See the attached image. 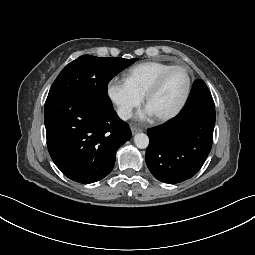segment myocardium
<instances>
[{
  "label": "myocardium",
  "mask_w": 255,
  "mask_h": 255,
  "mask_svg": "<svg viewBox=\"0 0 255 255\" xmlns=\"http://www.w3.org/2000/svg\"><path fill=\"white\" fill-rule=\"evenodd\" d=\"M177 69H182L187 74V86H186L185 92H184L181 100L179 101V103L176 105V107L172 111H170L169 113L164 114V115L156 116V119L159 121H168V120L174 118L186 104V102L189 98L190 92H191V88H192V75H191L190 70L183 65H173L172 67H170L169 69L164 71L156 79V81L152 84V86L148 89V91L144 95L145 103H146V105H148L149 100L161 89V87L163 86V84H164L166 78L169 76V74Z\"/></svg>",
  "instance_id": "f54148a6"
}]
</instances>
